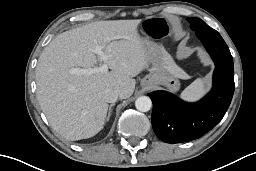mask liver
Returning <instances> with one entry per match:
<instances>
[{
  "label": "liver",
  "instance_id": "liver-1",
  "mask_svg": "<svg viewBox=\"0 0 256 171\" xmlns=\"http://www.w3.org/2000/svg\"><path fill=\"white\" fill-rule=\"evenodd\" d=\"M139 24L140 20L93 22L63 32L43 50L36 67L37 98L52 128L65 139L90 138L103 129L108 111L105 89L117 90L121 99L133 94V77L149 64ZM98 45L111 71L72 74L73 68H97ZM173 73L183 77L175 65Z\"/></svg>",
  "mask_w": 256,
  "mask_h": 171
}]
</instances>
